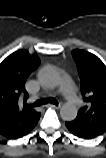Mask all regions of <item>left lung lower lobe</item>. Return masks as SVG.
Here are the masks:
<instances>
[{"mask_svg": "<svg viewBox=\"0 0 106 158\" xmlns=\"http://www.w3.org/2000/svg\"><path fill=\"white\" fill-rule=\"evenodd\" d=\"M66 126H67V128L70 130L71 133H73L74 135H76V136H78V137L84 138L82 135H80L78 132H76V131L69 125V122H66Z\"/></svg>", "mask_w": 106, "mask_h": 158, "instance_id": "0a47b994", "label": "left lung lower lobe"}]
</instances>
